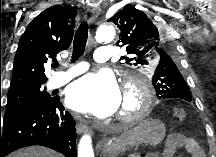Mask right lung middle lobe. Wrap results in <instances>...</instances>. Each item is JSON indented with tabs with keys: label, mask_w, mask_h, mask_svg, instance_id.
I'll return each mask as SVG.
<instances>
[{
	"label": "right lung middle lobe",
	"mask_w": 216,
	"mask_h": 157,
	"mask_svg": "<svg viewBox=\"0 0 216 157\" xmlns=\"http://www.w3.org/2000/svg\"><path fill=\"white\" fill-rule=\"evenodd\" d=\"M55 98L43 88L42 85L31 86L15 91H11L7 96V105L5 115L14 114L20 110L39 107L50 104ZM0 118H1V104H0Z\"/></svg>",
	"instance_id": "obj_1"
}]
</instances>
